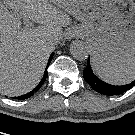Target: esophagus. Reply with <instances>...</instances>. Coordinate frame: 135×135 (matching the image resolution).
I'll list each match as a JSON object with an SVG mask.
<instances>
[{"label":"esophagus","mask_w":135,"mask_h":135,"mask_svg":"<svg viewBox=\"0 0 135 135\" xmlns=\"http://www.w3.org/2000/svg\"><path fill=\"white\" fill-rule=\"evenodd\" d=\"M77 36V31L75 29H70L65 33V39L71 40Z\"/></svg>","instance_id":"34e87169"}]
</instances>
